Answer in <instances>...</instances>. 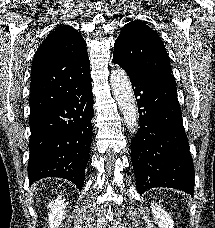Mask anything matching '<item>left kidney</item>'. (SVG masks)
<instances>
[{
  "label": "left kidney",
  "instance_id": "5707ae66",
  "mask_svg": "<svg viewBox=\"0 0 215 228\" xmlns=\"http://www.w3.org/2000/svg\"><path fill=\"white\" fill-rule=\"evenodd\" d=\"M150 208L153 220L159 228H173L174 222L171 216H169L161 206H158V204H151Z\"/></svg>",
  "mask_w": 215,
  "mask_h": 228
}]
</instances>
